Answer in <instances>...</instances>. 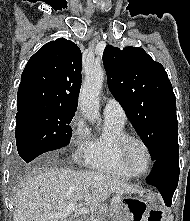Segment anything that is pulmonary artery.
<instances>
[{"mask_svg":"<svg viewBox=\"0 0 190 221\" xmlns=\"http://www.w3.org/2000/svg\"><path fill=\"white\" fill-rule=\"evenodd\" d=\"M105 118L113 119L119 122L126 121V114L120 103L114 98H108L103 109Z\"/></svg>","mask_w":190,"mask_h":221,"instance_id":"pulmonary-artery-1","label":"pulmonary artery"}]
</instances>
